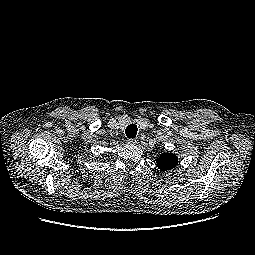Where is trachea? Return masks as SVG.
Wrapping results in <instances>:
<instances>
[{
	"label": "trachea",
	"instance_id": "trachea-1",
	"mask_svg": "<svg viewBox=\"0 0 255 255\" xmlns=\"http://www.w3.org/2000/svg\"><path fill=\"white\" fill-rule=\"evenodd\" d=\"M137 126L135 124H130L127 126L125 133L128 138H135L137 134Z\"/></svg>",
	"mask_w": 255,
	"mask_h": 255
}]
</instances>
